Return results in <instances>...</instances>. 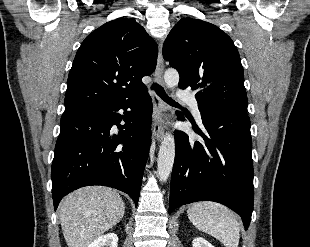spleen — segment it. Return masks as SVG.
Segmentation results:
<instances>
[{
  "mask_svg": "<svg viewBox=\"0 0 310 247\" xmlns=\"http://www.w3.org/2000/svg\"><path fill=\"white\" fill-rule=\"evenodd\" d=\"M187 215L198 230L210 234L226 247H238L240 225L227 207L216 202H197L188 208Z\"/></svg>",
  "mask_w": 310,
  "mask_h": 247,
  "instance_id": "obj_1",
  "label": "spleen"
}]
</instances>
